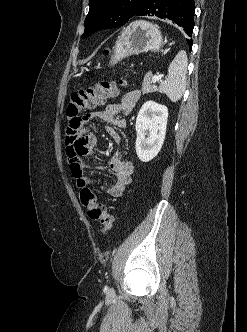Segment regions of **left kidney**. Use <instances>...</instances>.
I'll use <instances>...</instances> for the list:
<instances>
[{"label": "left kidney", "instance_id": "5707ae66", "mask_svg": "<svg viewBox=\"0 0 247 332\" xmlns=\"http://www.w3.org/2000/svg\"><path fill=\"white\" fill-rule=\"evenodd\" d=\"M168 119L166 106L154 101L145 102L136 119V153L142 162L157 156L163 145Z\"/></svg>", "mask_w": 247, "mask_h": 332}]
</instances>
